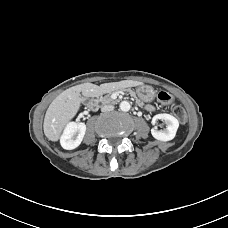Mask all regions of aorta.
Returning <instances> with one entry per match:
<instances>
[{
    "mask_svg": "<svg viewBox=\"0 0 228 228\" xmlns=\"http://www.w3.org/2000/svg\"><path fill=\"white\" fill-rule=\"evenodd\" d=\"M130 108H131V105H130V103L128 101H122L120 103V109L122 111L127 112V111L130 110Z\"/></svg>",
    "mask_w": 228,
    "mask_h": 228,
    "instance_id": "1",
    "label": "aorta"
}]
</instances>
